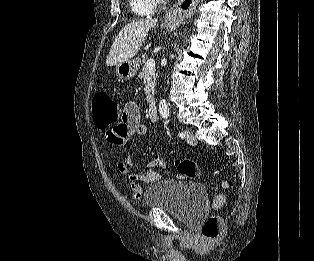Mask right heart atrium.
Here are the masks:
<instances>
[{
	"label": "right heart atrium",
	"mask_w": 314,
	"mask_h": 261,
	"mask_svg": "<svg viewBox=\"0 0 314 261\" xmlns=\"http://www.w3.org/2000/svg\"><path fill=\"white\" fill-rule=\"evenodd\" d=\"M162 0H153V2L156 4V6L161 2Z\"/></svg>",
	"instance_id": "d8ad5b80"
}]
</instances>
